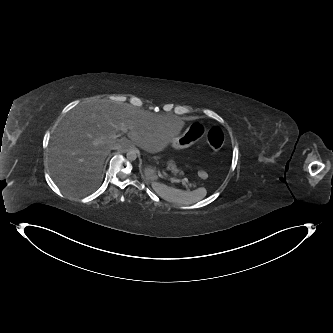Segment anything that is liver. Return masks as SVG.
<instances>
[{"instance_id": "6515ba94", "label": "liver", "mask_w": 333, "mask_h": 333, "mask_svg": "<svg viewBox=\"0 0 333 333\" xmlns=\"http://www.w3.org/2000/svg\"><path fill=\"white\" fill-rule=\"evenodd\" d=\"M121 125L126 137L112 138ZM183 129L181 121L154 114L128 103L90 99L69 111L55 129L47 161L57 185L71 194L94 191L103 179V164L112 146L120 150L130 143L158 153Z\"/></svg>"}]
</instances>
